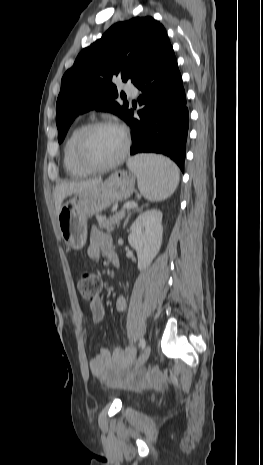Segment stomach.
Returning <instances> with one entry per match:
<instances>
[{"mask_svg":"<svg viewBox=\"0 0 263 465\" xmlns=\"http://www.w3.org/2000/svg\"><path fill=\"white\" fill-rule=\"evenodd\" d=\"M134 190L135 176L118 170L101 184L74 194L62 205L57 216L64 242L73 249H81L87 239L88 219L112 204L128 199Z\"/></svg>","mask_w":263,"mask_h":465,"instance_id":"stomach-1","label":"stomach"}]
</instances>
